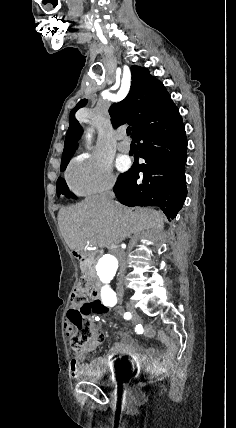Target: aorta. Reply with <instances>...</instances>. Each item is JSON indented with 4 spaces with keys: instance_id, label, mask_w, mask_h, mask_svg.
<instances>
[{
    "instance_id": "obj_1",
    "label": "aorta",
    "mask_w": 236,
    "mask_h": 428,
    "mask_svg": "<svg viewBox=\"0 0 236 428\" xmlns=\"http://www.w3.org/2000/svg\"><path fill=\"white\" fill-rule=\"evenodd\" d=\"M118 269L117 259L110 254L102 256L97 265L96 272L99 281L103 284L101 287V294L111 293V282L115 278Z\"/></svg>"
}]
</instances>
